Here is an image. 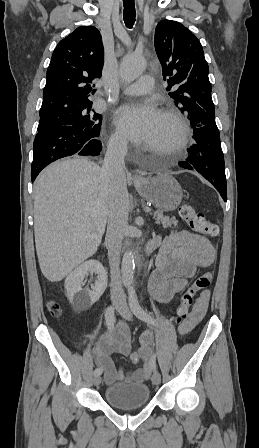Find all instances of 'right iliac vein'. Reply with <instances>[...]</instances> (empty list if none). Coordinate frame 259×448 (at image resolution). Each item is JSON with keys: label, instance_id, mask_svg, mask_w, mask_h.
<instances>
[{"label": "right iliac vein", "instance_id": "63e3f726", "mask_svg": "<svg viewBox=\"0 0 259 448\" xmlns=\"http://www.w3.org/2000/svg\"><path fill=\"white\" fill-rule=\"evenodd\" d=\"M100 383H101V377H100V375H95V376H94V379H93V384H94L95 386H98Z\"/></svg>", "mask_w": 259, "mask_h": 448}]
</instances>
